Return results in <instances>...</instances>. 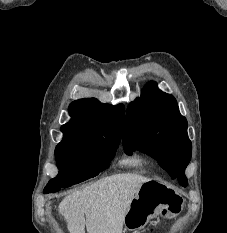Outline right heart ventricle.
I'll return each instance as SVG.
<instances>
[{"mask_svg": "<svg viewBox=\"0 0 227 233\" xmlns=\"http://www.w3.org/2000/svg\"><path fill=\"white\" fill-rule=\"evenodd\" d=\"M123 163L129 166L142 167L147 164V161L142 156H134L124 159Z\"/></svg>", "mask_w": 227, "mask_h": 233, "instance_id": "right-heart-ventricle-1", "label": "right heart ventricle"}]
</instances>
